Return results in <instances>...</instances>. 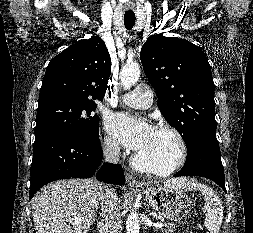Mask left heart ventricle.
I'll return each mask as SVG.
<instances>
[{
	"instance_id": "obj_1",
	"label": "left heart ventricle",
	"mask_w": 253,
	"mask_h": 233,
	"mask_svg": "<svg viewBox=\"0 0 253 233\" xmlns=\"http://www.w3.org/2000/svg\"><path fill=\"white\" fill-rule=\"evenodd\" d=\"M136 155L146 164L167 168L177 160L179 146L170 133L153 129L148 141Z\"/></svg>"
}]
</instances>
